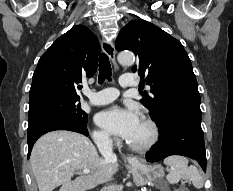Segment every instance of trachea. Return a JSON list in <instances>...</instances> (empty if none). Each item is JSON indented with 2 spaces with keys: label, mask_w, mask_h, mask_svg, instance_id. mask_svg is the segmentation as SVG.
Segmentation results:
<instances>
[{
  "label": "trachea",
  "mask_w": 233,
  "mask_h": 191,
  "mask_svg": "<svg viewBox=\"0 0 233 191\" xmlns=\"http://www.w3.org/2000/svg\"><path fill=\"white\" fill-rule=\"evenodd\" d=\"M105 79L111 80V64L109 57L102 53L99 56V83H102Z\"/></svg>",
  "instance_id": "obj_1"
}]
</instances>
